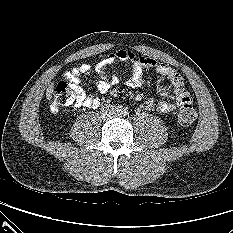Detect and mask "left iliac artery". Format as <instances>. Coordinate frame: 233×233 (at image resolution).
<instances>
[{"label":"left iliac artery","instance_id":"44dca946","mask_svg":"<svg viewBox=\"0 0 233 233\" xmlns=\"http://www.w3.org/2000/svg\"><path fill=\"white\" fill-rule=\"evenodd\" d=\"M122 113L123 115H128V110L125 109Z\"/></svg>","mask_w":233,"mask_h":233}]
</instances>
